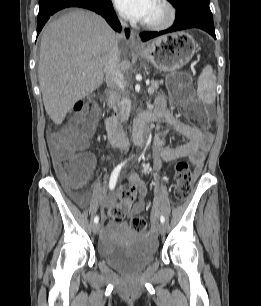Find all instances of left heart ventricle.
I'll use <instances>...</instances> for the list:
<instances>
[{
  "label": "left heart ventricle",
  "mask_w": 261,
  "mask_h": 306,
  "mask_svg": "<svg viewBox=\"0 0 261 306\" xmlns=\"http://www.w3.org/2000/svg\"><path fill=\"white\" fill-rule=\"evenodd\" d=\"M162 15H163V11L161 7L154 0L149 10V13L144 21H155V20L160 19Z\"/></svg>",
  "instance_id": "left-heart-ventricle-1"
}]
</instances>
